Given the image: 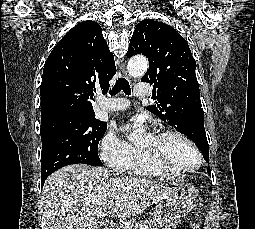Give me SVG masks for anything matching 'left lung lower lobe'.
Masks as SVG:
<instances>
[{
    "instance_id": "left-lung-lower-lobe-1",
    "label": "left lung lower lobe",
    "mask_w": 255,
    "mask_h": 229,
    "mask_svg": "<svg viewBox=\"0 0 255 229\" xmlns=\"http://www.w3.org/2000/svg\"><path fill=\"white\" fill-rule=\"evenodd\" d=\"M196 122H197V125L199 127V129L201 130H205L204 129V115H203V112H198L196 113ZM206 162L209 163V158H205ZM210 173V171H209Z\"/></svg>"
}]
</instances>
